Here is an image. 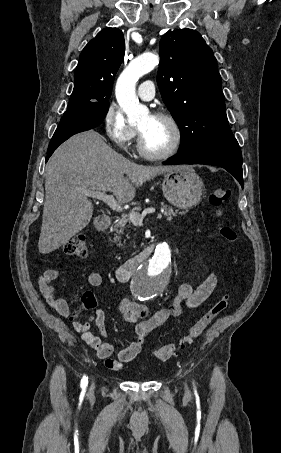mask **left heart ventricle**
<instances>
[{
	"label": "left heart ventricle",
	"instance_id": "b2bd125f",
	"mask_svg": "<svg viewBox=\"0 0 281 453\" xmlns=\"http://www.w3.org/2000/svg\"><path fill=\"white\" fill-rule=\"evenodd\" d=\"M138 129L143 135L147 150L154 153H163L170 148L173 141V133L165 122L145 115L138 124Z\"/></svg>",
	"mask_w": 281,
	"mask_h": 453
}]
</instances>
